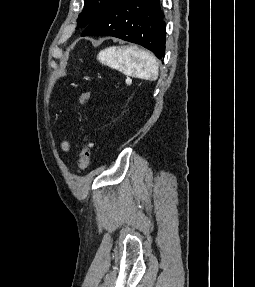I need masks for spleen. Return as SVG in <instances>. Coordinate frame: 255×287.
Instances as JSON below:
<instances>
[{
  "mask_svg": "<svg viewBox=\"0 0 255 287\" xmlns=\"http://www.w3.org/2000/svg\"><path fill=\"white\" fill-rule=\"evenodd\" d=\"M97 60L114 70H124L132 78H140V80H157L158 78L159 70L155 56L142 50L113 46V48L102 50Z\"/></svg>",
  "mask_w": 255,
  "mask_h": 287,
  "instance_id": "1",
  "label": "spleen"
}]
</instances>
